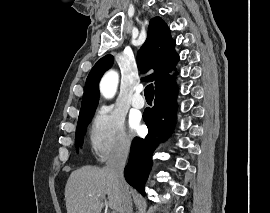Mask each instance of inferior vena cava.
<instances>
[{
	"instance_id": "1",
	"label": "inferior vena cava",
	"mask_w": 270,
	"mask_h": 213,
	"mask_svg": "<svg viewBox=\"0 0 270 213\" xmlns=\"http://www.w3.org/2000/svg\"><path fill=\"white\" fill-rule=\"evenodd\" d=\"M129 149L130 145L128 142H122L115 146L106 163V169L114 178L120 189L122 199L120 213H132L131 196L124 178V167L128 158Z\"/></svg>"
}]
</instances>
